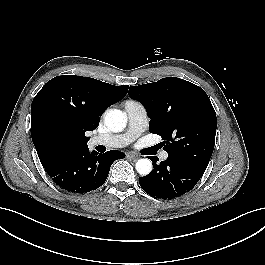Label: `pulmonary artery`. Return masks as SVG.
I'll return each instance as SVG.
<instances>
[{
  "label": "pulmonary artery",
  "instance_id": "obj_1",
  "mask_svg": "<svg viewBox=\"0 0 265 265\" xmlns=\"http://www.w3.org/2000/svg\"><path fill=\"white\" fill-rule=\"evenodd\" d=\"M124 109L128 119V128L120 134L97 135L90 138V145H103L110 148L125 147L134 141L142 132L146 119V110L144 106L135 101H127ZM168 153L161 152L160 158L166 160Z\"/></svg>",
  "mask_w": 265,
  "mask_h": 265
}]
</instances>
